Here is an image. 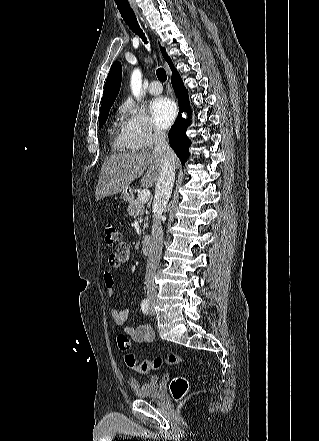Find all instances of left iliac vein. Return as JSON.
<instances>
[{
	"instance_id": "obj_1",
	"label": "left iliac vein",
	"mask_w": 319,
	"mask_h": 441,
	"mask_svg": "<svg viewBox=\"0 0 319 441\" xmlns=\"http://www.w3.org/2000/svg\"><path fill=\"white\" fill-rule=\"evenodd\" d=\"M149 314L153 315L154 314V309H153V303L151 302L150 308H149Z\"/></svg>"
}]
</instances>
